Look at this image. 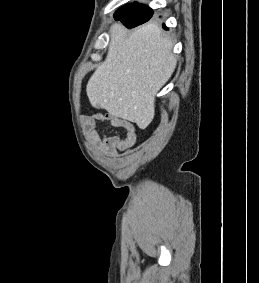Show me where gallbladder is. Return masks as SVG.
I'll use <instances>...</instances> for the list:
<instances>
[{"instance_id": "bac80fb5", "label": "gallbladder", "mask_w": 259, "mask_h": 283, "mask_svg": "<svg viewBox=\"0 0 259 283\" xmlns=\"http://www.w3.org/2000/svg\"><path fill=\"white\" fill-rule=\"evenodd\" d=\"M96 108H97V109H100L101 107L97 106Z\"/></svg>"}]
</instances>
